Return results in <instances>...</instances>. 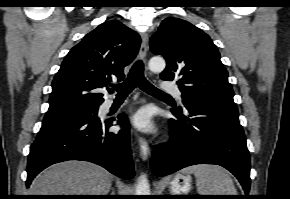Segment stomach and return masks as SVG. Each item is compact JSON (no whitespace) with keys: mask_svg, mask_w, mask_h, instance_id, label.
<instances>
[{"mask_svg":"<svg viewBox=\"0 0 290 199\" xmlns=\"http://www.w3.org/2000/svg\"><path fill=\"white\" fill-rule=\"evenodd\" d=\"M191 176L188 173H178L170 182L171 190L174 195H180V193H187L191 189Z\"/></svg>","mask_w":290,"mask_h":199,"instance_id":"1","label":"stomach"}]
</instances>
